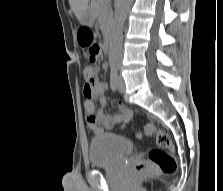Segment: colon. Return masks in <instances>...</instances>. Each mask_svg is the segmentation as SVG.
<instances>
[{
    "label": "colon",
    "mask_w": 223,
    "mask_h": 191,
    "mask_svg": "<svg viewBox=\"0 0 223 191\" xmlns=\"http://www.w3.org/2000/svg\"><path fill=\"white\" fill-rule=\"evenodd\" d=\"M79 41L85 48L91 63L83 67V76L87 84L95 81L96 67L94 60L99 55V46L90 28H83L79 32ZM143 134L154 136L157 147L149 151L146 160H139L135 163L134 171L137 174H151L159 171L162 174H173L177 169V162L172 152L174 145L170 136L161 130H156L152 123H147L143 128Z\"/></svg>",
    "instance_id": "5ec220e1"
}]
</instances>
